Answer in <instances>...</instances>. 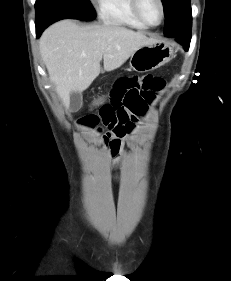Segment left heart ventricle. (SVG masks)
I'll list each match as a JSON object with an SVG mask.
<instances>
[{"mask_svg": "<svg viewBox=\"0 0 231 281\" xmlns=\"http://www.w3.org/2000/svg\"><path fill=\"white\" fill-rule=\"evenodd\" d=\"M141 10L151 24H157L161 19V8L157 0H141Z\"/></svg>", "mask_w": 231, "mask_h": 281, "instance_id": "b2bd125f", "label": "left heart ventricle"}]
</instances>
